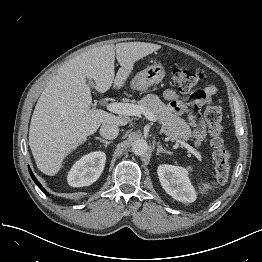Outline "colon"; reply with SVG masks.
Wrapping results in <instances>:
<instances>
[{"mask_svg": "<svg viewBox=\"0 0 262 262\" xmlns=\"http://www.w3.org/2000/svg\"><path fill=\"white\" fill-rule=\"evenodd\" d=\"M173 81L177 89L183 93L191 91L203 78L201 71L195 72L185 68L176 67L172 72ZM188 110L191 114L197 113L194 103H190ZM204 119L207 124L211 144L214 148L215 177L218 183L226 182L230 165L231 152L225 145L222 127L221 101L208 105L204 110Z\"/></svg>", "mask_w": 262, "mask_h": 262, "instance_id": "1", "label": "colon"}]
</instances>
